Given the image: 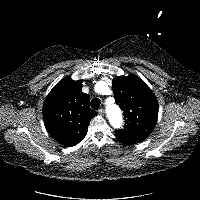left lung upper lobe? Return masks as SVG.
<instances>
[{
    "mask_svg": "<svg viewBox=\"0 0 200 200\" xmlns=\"http://www.w3.org/2000/svg\"><path fill=\"white\" fill-rule=\"evenodd\" d=\"M112 88L125 117L124 129L115 131L116 138L125 145L142 142L157 121L159 108L156 96L135 75L117 77Z\"/></svg>",
    "mask_w": 200,
    "mask_h": 200,
    "instance_id": "obj_1",
    "label": "left lung upper lobe"
}]
</instances>
